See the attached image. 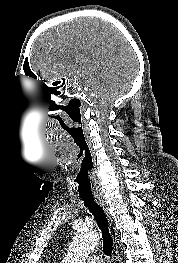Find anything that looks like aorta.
I'll use <instances>...</instances> for the list:
<instances>
[{
	"label": "aorta",
	"instance_id": "obj_1",
	"mask_svg": "<svg viewBox=\"0 0 178 263\" xmlns=\"http://www.w3.org/2000/svg\"><path fill=\"white\" fill-rule=\"evenodd\" d=\"M98 242L99 237L96 232L86 229L78 231L62 263H85L86 258Z\"/></svg>",
	"mask_w": 178,
	"mask_h": 263
}]
</instances>
